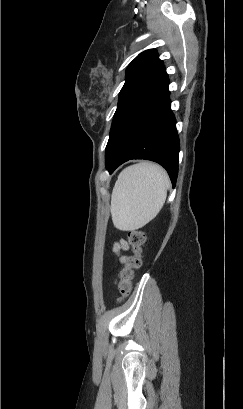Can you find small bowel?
Instances as JSON below:
<instances>
[{
  "label": "small bowel",
  "mask_w": 243,
  "mask_h": 409,
  "mask_svg": "<svg viewBox=\"0 0 243 409\" xmlns=\"http://www.w3.org/2000/svg\"><path fill=\"white\" fill-rule=\"evenodd\" d=\"M128 249H129V246H128V244L126 243V241H124V240H121L119 243H116V244H114V246H113V251H114V253H116L117 256L120 258V260H122V261L125 259V257L122 256V255L120 254V252H121V251H127Z\"/></svg>",
  "instance_id": "obj_1"
}]
</instances>
